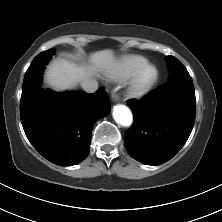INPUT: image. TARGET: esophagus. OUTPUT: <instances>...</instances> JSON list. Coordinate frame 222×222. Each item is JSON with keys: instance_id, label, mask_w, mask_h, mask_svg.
<instances>
[{"instance_id": "34e87169", "label": "esophagus", "mask_w": 222, "mask_h": 222, "mask_svg": "<svg viewBox=\"0 0 222 222\" xmlns=\"http://www.w3.org/2000/svg\"><path fill=\"white\" fill-rule=\"evenodd\" d=\"M111 97L114 102L119 100V94L117 93L116 89L112 90Z\"/></svg>"}]
</instances>
